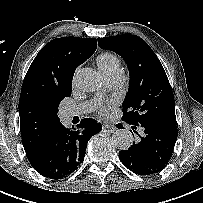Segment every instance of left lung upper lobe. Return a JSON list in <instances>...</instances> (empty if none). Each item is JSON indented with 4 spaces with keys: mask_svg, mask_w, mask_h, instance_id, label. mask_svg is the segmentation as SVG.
Instances as JSON below:
<instances>
[{
    "mask_svg": "<svg viewBox=\"0 0 203 203\" xmlns=\"http://www.w3.org/2000/svg\"><path fill=\"white\" fill-rule=\"evenodd\" d=\"M98 45L119 54L129 69L122 120L137 125L155 122L176 126L173 92L162 64L149 45L131 34L98 38Z\"/></svg>",
    "mask_w": 203,
    "mask_h": 203,
    "instance_id": "left-lung-upper-lobe-1",
    "label": "left lung upper lobe"
}]
</instances>
